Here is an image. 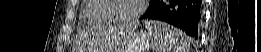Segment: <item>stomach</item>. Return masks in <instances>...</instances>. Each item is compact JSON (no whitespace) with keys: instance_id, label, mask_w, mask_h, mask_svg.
I'll return each mask as SVG.
<instances>
[{"instance_id":"stomach-1","label":"stomach","mask_w":261,"mask_h":52,"mask_svg":"<svg viewBox=\"0 0 261 52\" xmlns=\"http://www.w3.org/2000/svg\"><path fill=\"white\" fill-rule=\"evenodd\" d=\"M113 30L119 32L115 46L112 48L116 52H146L152 45L150 36L146 31L126 33L125 31L120 32L116 28H113Z\"/></svg>"}]
</instances>
